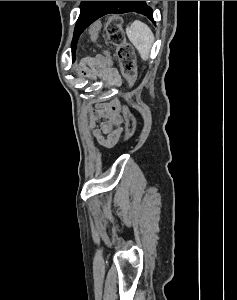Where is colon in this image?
<instances>
[{
  "label": "colon",
  "mask_w": 237,
  "mask_h": 300,
  "mask_svg": "<svg viewBox=\"0 0 237 300\" xmlns=\"http://www.w3.org/2000/svg\"><path fill=\"white\" fill-rule=\"evenodd\" d=\"M101 30L100 22H94L90 28V35L93 40L97 39ZM105 32L109 42L113 45L118 60L122 77L127 90L131 88L135 78V53L133 47L126 41L122 21L118 15H110L105 21ZM91 63L99 67L110 65V57L107 54H100L89 59ZM122 114L125 121L124 141L129 140L135 131V119L127 105H122Z\"/></svg>",
  "instance_id": "obj_1"
}]
</instances>
